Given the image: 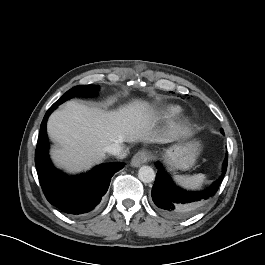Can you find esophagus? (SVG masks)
<instances>
[{"label": "esophagus", "mask_w": 265, "mask_h": 265, "mask_svg": "<svg viewBox=\"0 0 265 265\" xmlns=\"http://www.w3.org/2000/svg\"><path fill=\"white\" fill-rule=\"evenodd\" d=\"M149 160V154L147 151L137 152L131 159V165L133 167H139L140 165L146 163Z\"/></svg>", "instance_id": "esophagus-1"}]
</instances>
